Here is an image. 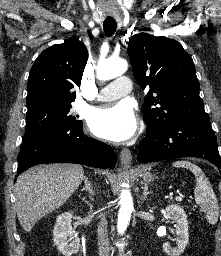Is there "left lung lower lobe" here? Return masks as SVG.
<instances>
[{"label":"left lung lower lobe","instance_id":"left-lung-lower-lobe-1","mask_svg":"<svg viewBox=\"0 0 221 256\" xmlns=\"http://www.w3.org/2000/svg\"><path fill=\"white\" fill-rule=\"evenodd\" d=\"M146 133L138 146V162L199 157L221 169L217 139L209 116L204 119H184L162 128L147 127Z\"/></svg>","mask_w":221,"mask_h":256}]
</instances>
